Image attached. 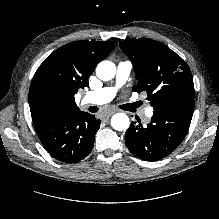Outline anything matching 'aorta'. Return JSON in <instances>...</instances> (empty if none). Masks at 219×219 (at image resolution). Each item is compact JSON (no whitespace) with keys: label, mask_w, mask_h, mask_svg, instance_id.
Wrapping results in <instances>:
<instances>
[{"label":"aorta","mask_w":219,"mask_h":219,"mask_svg":"<svg viewBox=\"0 0 219 219\" xmlns=\"http://www.w3.org/2000/svg\"><path fill=\"white\" fill-rule=\"evenodd\" d=\"M116 74V66L111 61H101L96 67V75L102 81H109ZM111 126L117 131H125L130 126L129 117L124 113H116L111 118Z\"/></svg>","instance_id":"obj_1"}]
</instances>
